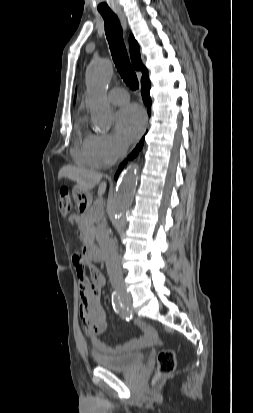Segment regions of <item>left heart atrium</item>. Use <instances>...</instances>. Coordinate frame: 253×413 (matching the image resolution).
Returning <instances> with one entry per match:
<instances>
[{
	"instance_id": "1",
	"label": "left heart atrium",
	"mask_w": 253,
	"mask_h": 413,
	"mask_svg": "<svg viewBox=\"0 0 253 413\" xmlns=\"http://www.w3.org/2000/svg\"><path fill=\"white\" fill-rule=\"evenodd\" d=\"M145 126V114L135 104L127 105L116 114V133L125 143L135 141Z\"/></svg>"
}]
</instances>
